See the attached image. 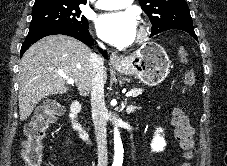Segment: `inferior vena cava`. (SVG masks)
<instances>
[{
  "label": "inferior vena cava",
  "mask_w": 227,
  "mask_h": 166,
  "mask_svg": "<svg viewBox=\"0 0 227 166\" xmlns=\"http://www.w3.org/2000/svg\"><path fill=\"white\" fill-rule=\"evenodd\" d=\"M98 44L101 48L105 49L102 43L99 42ZM92 64L91 107L98 148V166H107L106 108L104 102V83L106 72L104 67V58L100 55L94 54L92 56Z\"/></svg>",
  "instance_id": "inferior-vena-cava-1"
}]
</instances>
